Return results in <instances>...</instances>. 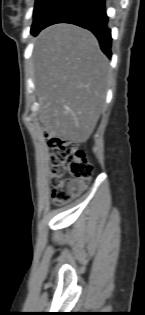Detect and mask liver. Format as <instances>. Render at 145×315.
Wrapping results in <instances>:
<instances>
[{
	"instance_id": "liver-1",
	"label": "liver",
	"mask_w": 145,
	"mask_h": 315,
	"mask_svg": "<svg viewBox=\"0 0 145 315\" xmlns=\"http://www.w3.org/2000/svg\"><path fill=\"white\" fill-rule=\"evenodd\" d=\"M40 119L51 137L88 140L103 109L110 67L98 40L70 24L40 32L33 53Z\"/></svg>"
}]
</instances>
